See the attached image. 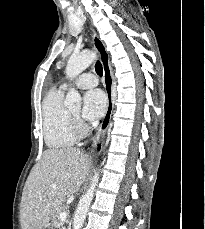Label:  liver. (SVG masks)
Wrapping results in <instances>:
<instances>
[{
  "label": "liver",
  "mask_w": 205,
  "mask_h": 229,
  "mask_svg": "<svg viewBox=\"0 0 205 229\" xmlns=\"http://www.w3.org/2000/svg\"><path fill=\"white\" fill-rule=\"evenodd\" d=\"M90 158L78 148L45 150L24 186L22 229H42L68 196L77 192L90 170Z\"/></svg>",
  "instance_id": "liver-1"
}]
</instances>
